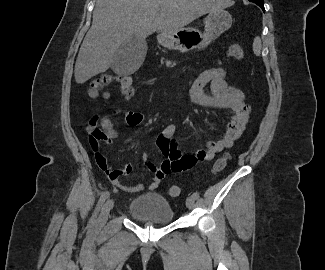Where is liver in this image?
<instances>
[{"label":"liver","mask_w":325,"mask_h":270,"mask_svg":"<svg viewBox=\"0 0 325 270\" xmlns=\"http://www.w3.org/2000/svg\"><path fill=\"white\" fill-rule=\"evenodd\" d=\"M231 5V0H96L92 26L76 60L75 80L82 84L108 70L131 36L175 34L198 17Z\"/></svg>","instance_id":"1"}]
</instances>
